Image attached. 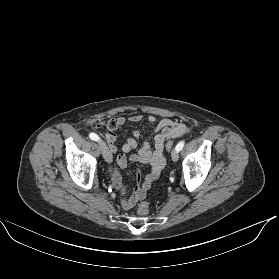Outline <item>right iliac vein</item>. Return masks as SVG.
<instances>
[{
  "label": "right iliac vein",
  "mask_w": 279,
  "mask_h": 279,
  "mask_svg": "<svg viewBox=\"0 0 279 279\" xmlns=\"http://www.w3.org/2000/svg\"><path fill=\"white\" fill-rule=\"evenodd\" d=\"M100 146H101L102 153H103V156H104L105 160L108 163H111L112 162V154H111L110 150L107 148V146L103 142H100Z\"/></svg>",
  "instance_id": "1"
}]
</instances>
